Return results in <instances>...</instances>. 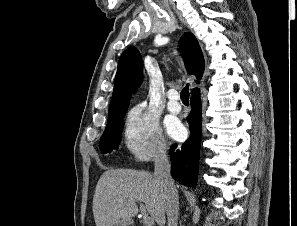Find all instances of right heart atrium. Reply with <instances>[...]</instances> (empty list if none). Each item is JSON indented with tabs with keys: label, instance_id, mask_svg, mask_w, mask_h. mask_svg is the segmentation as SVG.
Returning <instances> with one entry per match:
<instances>
[{
	"label": "right heart atrium",
	"instance_id": "right-heart-atrium-1",
	"mask_svg": "<svg viewBox=\"0 0 297 226\" xmlns=\"http://www.w3.org/2000/svg\"><path fill=\"white\" fill-rule=\"evenodd\" d=\"M124 142L128 151L142 161L156 159L166 154L165 138L147 104L138 103L127 113Z\"/></svg>",
	"mask_w": 297,
	"mask_h": 226
}]
</instances>
